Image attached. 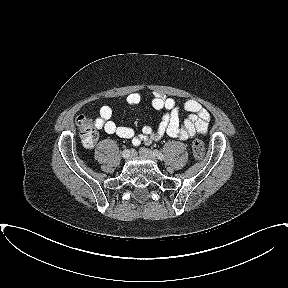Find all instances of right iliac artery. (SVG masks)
I'll list each match as a JSON object with an SVG mask.
<instances>
[{"mask_svg": "<svg viewBox=\"0 0 288 288\" xmlns=\"http://www.w3.org/2000/svg\"><path fill=\"white\" fill-rule=\"evenodd\" d=\"M121 157L123 158L124 161H129L130 160V155L128 150H123L121 152Z\"/></svg>", "mask_w": 288, "mask_h": 288, "instance_id": "1", "label": "right iliac artery"}]
</instances>
